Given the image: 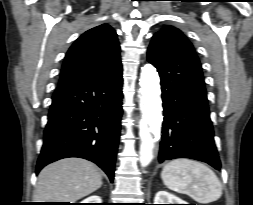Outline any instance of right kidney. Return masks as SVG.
I'll list each match as a JSON object with an SVG mask.
<instances>
[{
	"label": "right kidney",
	"mask_w": 253,
	"mask_h": 205,
	"mask_svg": "<svg viewBox=\"0 0 253 205\" xmlns=\"http://www.w3.org/2000/svg\"><path fill=\"white\" fill-rule=\"evenodd\" d=\"M81 203H102V199L99 196L93 195L84 199Z\"/></svg>",
	"instance_id": "1"
}]
</instances>
